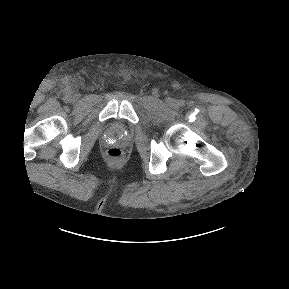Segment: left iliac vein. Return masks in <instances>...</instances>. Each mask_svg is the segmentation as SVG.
<instances>
[{
  "label": "left iliac vein",
  "mask_w": 289,
  "mask_h": 289,
  "mask_svg": "<svg viewBox=\"0 0 289 289\" xmlns=\"http://www.w3.org/2000/svg\"><path fill=\"white\" fill-rule=\"evenodd\" d=\"M169 103H170V104H173V101L171 100Z\"/></svg>",
  "instance_id": "1"
}]
</instances>
